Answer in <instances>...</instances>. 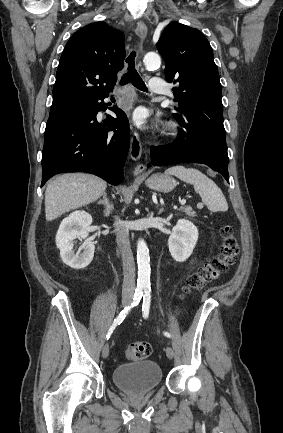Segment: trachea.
Instances as JSON below:
<instances>
[{
    "label": "trachea",
    "mask_w": 283,
    "mask_h": 433,
    "mask_svg": "<svg viewBox=\"0 0 283 433\" xmlns=\"http://www.w3.org/2000/svg\"><path fill=\"white\" fill-rule=\"evenodd\" d=\"M135 57H136V51H133L130 53L129 57L126 58V63H128V68H127V72L124 73L122 77L120 85H126V83H132V85L138 88V90L147 92L148 89L135 68Z\"/></svg>",
    "instance_id": "trachea-1"
}]
</instances>
